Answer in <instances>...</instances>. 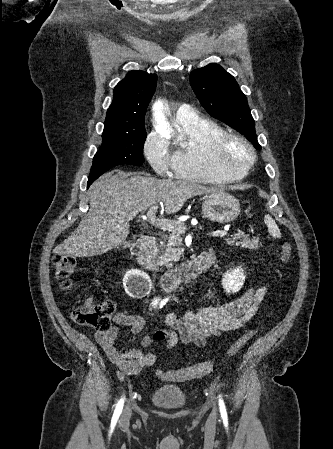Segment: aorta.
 <instances>
[{
  "mask_svg": "<svg viewBox=\"0 0 333 449\" xmlns=\"http://www.w3.org/2000/svg\"><path fill=\"white\" fill-rule=\"evenodd\" d=\"M161 107H162V104L161 103H158L157 105H156V118H157V120L161 123L162 122V116H161V113H160V109H161ZM163 123V122H162ZM158 129H159V132L162 134V135H164V136H171V135H173V131L169 128V127H165L164 129H162L160 126L158 127Z\"/></svg>",
  "mask_w": 333,
  "mask_h": 449,
  "instance_id": "762f6f07",
  "label": "aorta"
}]
</instances>
